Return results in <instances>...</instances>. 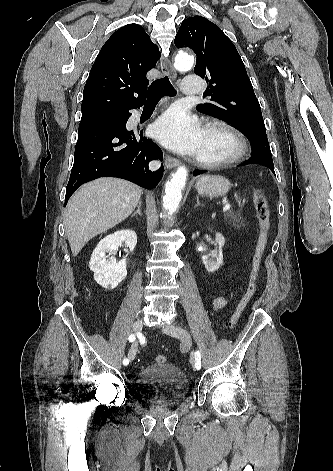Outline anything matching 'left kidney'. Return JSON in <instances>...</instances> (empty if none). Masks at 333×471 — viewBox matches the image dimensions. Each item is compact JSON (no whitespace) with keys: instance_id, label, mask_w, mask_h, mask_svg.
<instances>
[{"instance_id":"1","label":"left kidney","mask_w":333,"mask_h":471,"mask_svg":"<svg viewBox=\"0 0 333 471\" xmlns=\"http://www.w3.org/2000/svg\"><path fill=\"white\" fill-rule=\"evenodd\" d=\"M215 241L219 250H214L207 255L202 256V262L209 273H213L223 265L222 248L225 244V238L222 234L216 233ZM211 257V258H210Z\"/></svg>"}]
</instances>
